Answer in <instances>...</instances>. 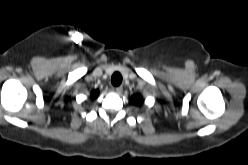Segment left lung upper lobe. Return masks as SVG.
Segmentation results:
<instances>
[{"instance_id": "obj_1", "label": "left lung upper lobe", "mask_w": 248, "mask_h": 165, "mask_svg": "<svg viewBox=\"0 0 248 165\" xmlns=\"http://www.w3.org/2000/svg\"><path fill=\"white\" fill-rule=\"evenodd\" d=\"M131 102L135 105H139L142 102V97L141 95H133L131 97Z\"/></svg>"}]
</instances>
